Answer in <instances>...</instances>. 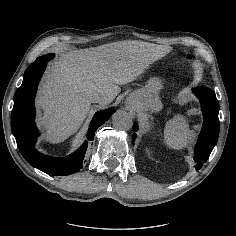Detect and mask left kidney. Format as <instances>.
I'll return each mask as SVG.
<instances>
[{
	"label": "left kidney",
	"mask_w": 236,
	"mask_h": 236,
	"mask_svg": "<svg viewBox=\"0 0 236 236\" xmlns=\"http://www.w3.org/2000/svg\"><path fill=\"white\" fill-rule=\"evenodd\" d=\"M146 153L148 154V156L151 158V152L149 149H146Z\"/></svg>",
	"instance_id": "obj_1"
}]
</instances>
